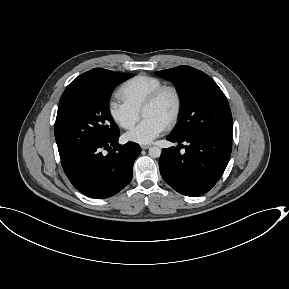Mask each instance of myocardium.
I'll use <instances>...</instances> for the list:
<instances>
[{
    "label": "myocardium",
    "instance_id": "1",
    "mask_svg": "<svg viewBox=\"0 0 289 289\" xmlns=\"http://www.w3.org/2000/svg\"><path fill=\"white\" fill-rule=\"evenodd\" d=\"M166 92H171L175 99V107H174L173 113L170 119L168 120V122L166 123V128L170 129L177 123L181 115L182 105H183L181 92L176 86L162 85L156 90H154L143 103L142 108H141V114L145 109L156 104L158 100L161 98V96Z\"/></svg>",
    "mask_w": 289,
    "mask_h": 289
}]
</instances>
